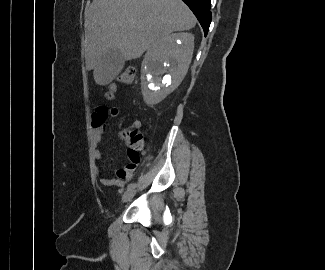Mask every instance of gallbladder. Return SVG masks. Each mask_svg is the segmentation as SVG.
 <instances>
[{
  "instance_id": "bac80fb5",
  "label": "gallbladder",
  "mask_w": 325,
  "mask_h": 270,
  "mask_svg": "<svg viewBox=\"0 0 325 270\" xmlns=\"http://www.w3.org/2000/svg\"><path fill=\"white\" fill-rule=\"evenodd\" d=\"M124 59L116 48L105 51L98 63L97 72L107 80H113L123 69Z\"/></svg>"
}]
</instances>
